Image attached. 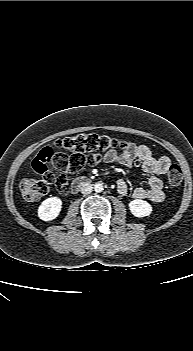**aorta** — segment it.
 <instances>
[{
	"label": "aorta",
	"instance_id": "obj_1",
	"mask_svg": "<svg viewBox=\"0 0 193 351\" xmlns=\"http://www.w3.org/2000/svg\"><path fill=\"white\" fill-rule=\"evenodd\" d=\"M94 190H95V192H97V193L102 192V191H103V184H102V183H96V184L94 185Z\"/></svg>",
	"mask_w": 193,
	"mask_h": 351
}]
</instances>
